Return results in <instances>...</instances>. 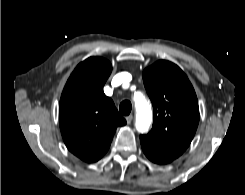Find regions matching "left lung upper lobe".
<instances>
[{
    "label": "left lung upper lobe",
    "instance_id": "1",
    "mask_svg": "<svg viewBox=\"0 0 245 195\" xmlns=\"http://www.w3.org/2000/svg\"><path fill=\"white\" fill-rule=\"evenodd\" d=\"M153 105V127L141 135L162 147L185 151L198 123L197 96L185 73L175 64L160 60L143 72Z\"/></svg>",
    "mask_w": 245,
    "mask_h": 195
}]
</instances>
